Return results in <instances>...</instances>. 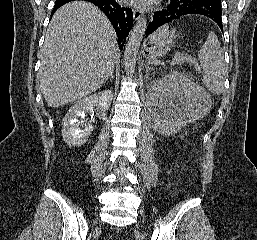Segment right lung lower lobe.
Returning <instances> with one entry per match:
<instances>
[{
  "label": "right lung lower lobe",
  "mask_w": 257,
  "mask_h": 240,
  "mask_svg": "<svg viewBox=\"0 0 257 240\" xmlns=\"http://www.w3.org/2000/svg\"><path fill=\"white\" fill-rule=\"evenodd\" d=\"M74 0H68L64 2L56 1L55 6L53 8L52 14L62 5ZM93 3L98 8H100L108 19L111 21L115 32L118 37V43L120 49L123 48V45L126 41V37L128 36L130 29L133 25V13L130 8H127L121 4L117 0H85Z\"/></svg>",
  "instance_id": "right-lung-lower-lobe-1"
}]
</instances>
